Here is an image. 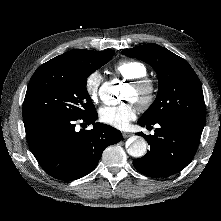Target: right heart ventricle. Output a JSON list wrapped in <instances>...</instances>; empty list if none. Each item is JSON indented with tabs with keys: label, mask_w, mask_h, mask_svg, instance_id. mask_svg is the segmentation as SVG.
Wrapping results in <instances>:
<instances>
[{
	"label": "right heart ventricle",
	"mask_w": 221,
	"mask_h": 221,
	"mask_svg": "<svg viewBox=\"0 0 221 221\" xmlns=\"http://www.w3.org/2000/svg\"><path fill=\"white\" fill-rule=\"evenodd\" d=\"M114 73L126 80H134L147 74V67L140 61L121 60L114 65Z\"/></svg>",
	"instance_id": "obj_1"
}]
</instances>
